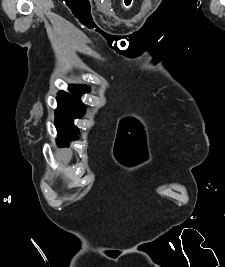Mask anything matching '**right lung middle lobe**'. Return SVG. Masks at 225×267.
Listing matches in <instances>:
<instances>
[{
  "mask_svg": "<svg viewBox=\"0 0 225 267\" xmlns=\"http://www.w3.org/2000/svg\"><path fill=\"white\" fill-rule=\"evenodd\" d=\"M74 94L61 91L57 97L58 108L56 110L55 126L58 132L57 143L59 146H66L70 140L78 139L79 131L74 126L73 119L83 116L85 107Z\"/></svg>",
  "mask_w": 225,
  "mask_h": 267,
  "instance_id": "1",
  "label": "right lung middle lobe"
}]
</instances>
